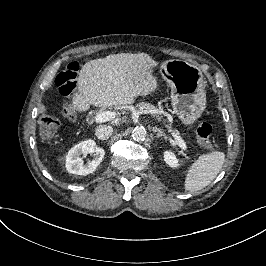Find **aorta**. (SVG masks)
<instances>
[{"label":"aorta","mask_w":266,"mask_h":266,"mask_svg":"<svg viewBox=\"0 0 266 266\" xmlns=\"http://www.w3.org/2000/svg\"><path fill=\"white\" fill-rule=\"evenodd\" d=\"M131 137L134 141H144L147 137V131L142 126H137L133 129Z\"/></svg>","instance_id":"obj_1"}]
</instances>
